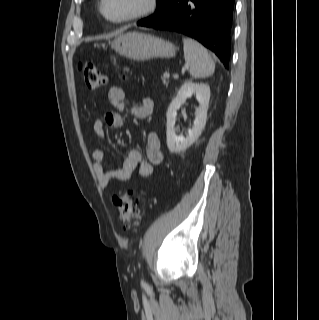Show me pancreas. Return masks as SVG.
Segmentation results:
<instances>
[{"mask_svg":"<svg viewBox=\"0 0 319 320\" xmlns=\"http://www.w3.org/2000/svg\"><path fill=\"white\" fill-rule=\"evenodd\" d=\"M162 81H163L164 85H168L169 84L168 78H165L164 76L162 78Z\"/></svg>","mask_w":319,"mask_h":320,"instance_id":"pancreas-1","label":"pancreas"}]
</instances>
